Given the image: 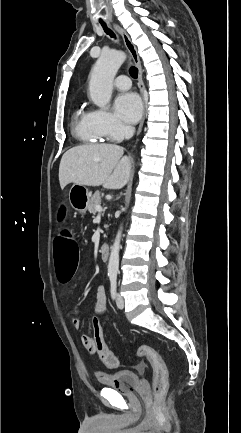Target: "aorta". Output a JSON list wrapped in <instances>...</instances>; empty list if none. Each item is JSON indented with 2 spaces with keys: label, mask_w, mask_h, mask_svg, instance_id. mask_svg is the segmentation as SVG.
Returning <instances> with one entry per match:
<instances>
[{
  "label": "aorta",
  "mask_w": 241,
  "mask_h": 433,
  "mask_svg": "<svg viewBox=\"0 0 241 433\" xmlns=\"http://www.w3.org/2000/svg\"><path fill=\"white\" fill-rule=\"evenodd\" d=\"M126 55L122 51L103 52L96 61L89 82L91 100L98 107L105 109L110 102L114 77L125 61ZM122 237V227L118 231L111 247L108 276H117L119 268V251Z\"/></svg>",
  "instance_id": "762f6f07"
}]
</instances>
